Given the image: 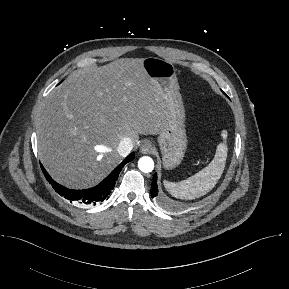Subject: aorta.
Returning a JSON list of instances; mask_svg holds the SVG:
<instances>
[{"label":"aorta","mask_w":289,"mask_h":289,"mask_svg":"<svg viewBox=\"0 0 289 289\" xmlns=\"http://www.w3.org/2000/svg\"><path fill=\"white\" fill-rule=\"evenodd\" d=\"M139 169L144 173H149L154 169V161L151 157L144 156L138 161Z\"/></svg>","instance_id":"1"}]
</instances>
